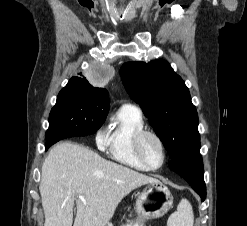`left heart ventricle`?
<instances>
[{
    "instance_id": "left-heart-ventricle-1",
    "label": "left heart ventricle",
    "mask_w": 247,
    "mask_h": 226,
    "mask_svg": "<svg viewBox=\"0 0 247 226\" xmlns=\"http://www.w3.org/2000/svg\"><path fill=\"white\" fill-rule=\"evenodd\" d=\"M142 152L147 162L152 166H158L162 160V152L159 143L152 136L144 137Z\"/></svg>"
}]
</instances>
